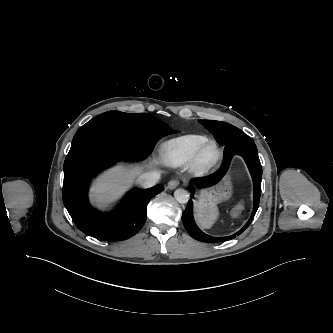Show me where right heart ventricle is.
Returning <instances> with one entry per match:
<instances>
[{
  "instance_id": "e07e8e85",
  "label": "right heart ventricle",
  "mask_w": 333,
  "mask_h": 333,
  "mask_svg": "<svg viewBox=\"0 0 333 333\" xmlns=\"http://www.w3.org/2000/svg\"><path fill=\"white\" fill-rule=\"evenodd\" d=\"M208 141L203 135H184L173 138L163 145V156L172 166L189 164L199 148Z\"/></svg>"
}]
</instances>
